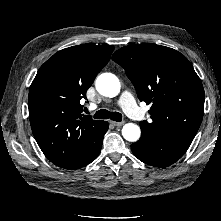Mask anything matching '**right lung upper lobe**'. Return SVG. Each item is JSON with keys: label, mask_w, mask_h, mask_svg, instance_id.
<instances>
[{"label": "right lung upper lobe", "mask_w": 221, "mask_h": 221, "mask_svg": "<svg viewBox=\"0 0 221 221\" xmlns=\"http://www.w3.org/2000/svg\"><path fill=\"white\" fill-rule=\"evenodd\" d=\"M114 47L81 44L55 53L38 70L29 92L34 137L52 163L67 167L82 161L102 121L82 114V98L108 63Z\"/></svg>", "instance_id": "cb5924a9"}]
</instances>
